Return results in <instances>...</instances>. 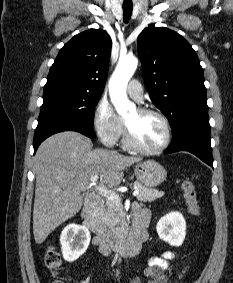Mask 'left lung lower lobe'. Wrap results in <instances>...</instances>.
<instances>
[{
    "instance_id": "1",
    "label": "left lung lower lobe",
    "mask_w": 233,
    "mask_h": 283,
    "mask_svg": "<svg viewBox=\"0 0 233 283\" xmlns=\"http://www.w3.org/2000/svg\"><path fill=\"white\" fill-rule=\"evenodd\" d=\"M188 151L213 167L209 123H193L173 136L164 154Z\"/></svg>"
}]
</instances>
